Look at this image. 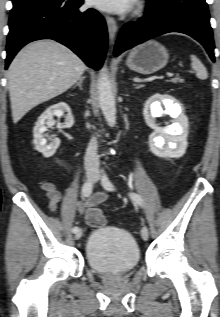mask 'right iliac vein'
<instances>
[{
    "label": "right iliac vein",
    "mask_w": 220,
    "mask_h": 317,
    "mask_svg": "<svg viewBox=\"0 0 220 317\" xmlns=\"http://www.w3.org/2000/svg\"><path fill=\"white\" fill-rule=\"evenodd\" d=\"M87 177H88V180H93L94 179V175L93 174H89ZM82 234H83L82 229H79L75 233V236H74L75 240H79L81 238Z\"/></svg>",
    "instance_id": "obj_1"
}]
</instances>
